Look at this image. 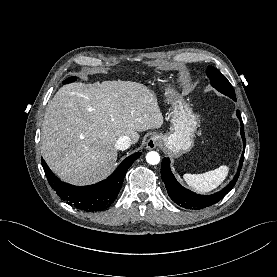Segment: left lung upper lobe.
I'll return each instance as SVG.
<instances>
[{"mask_svg":"<svg viewBox=\"0 0 277 277\" xmlns=\"http://www.w3.org/2000/svg\"><path fill=\"white\" fill-rule=\"evenodd\" d=\"M206 73L210 79L211 85L215 89L236 101V96L232 85L221 72H219L216 68L209 66L206 70Z\"/></svg>","mask_w":277,"mask_h":277,"instance_id":"obj_1","label":"left lung upper lobe"}]
</instances>
